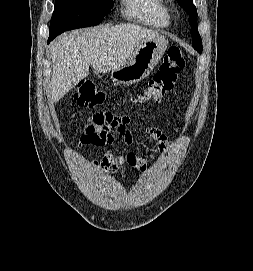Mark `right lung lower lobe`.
Here are the masks:
<instances>
[{
  "label": "right lung lower lobe",
  "mask_w": 253,
  "mask_h": 271,
  "mask_svg": "<svg viewBox=\"0 0 253 271\" xmlns=\"http://www.w3.org/2000/svg\"><path fill=\"white\" fill-rule=\"evenodd\" d=\"M55 37L49 36L48 43L52 41Z\"/></svg>",
  "instance_id": "right-lung-lower-lobe-1"
}]
</instances>
